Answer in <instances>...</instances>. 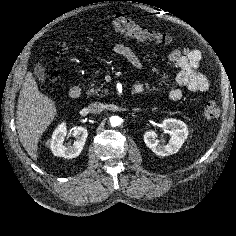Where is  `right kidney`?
I'll return each mask as SVG.
<instances>
[{
  "label": "right kidney",
  "mask_w": 236,
  "mask_h": 236,
  "mask_svg": "<svg viewBox=\"0 0 236 236\" xmlns=\"http://www.w3.org/2000/svg\"><path fill=\"white\" fill-rule=\"evenodd\" d=\"M70 132H72V135L75 137V141L72 145L64 144V139L68 133L64 122L53 132L50 148L55 156L71 159L77 157L83 150L88 136L87 129L79 126L72 128Z\"/></svg>",
  "instance_id": "obj_1"
}]
</instances>
